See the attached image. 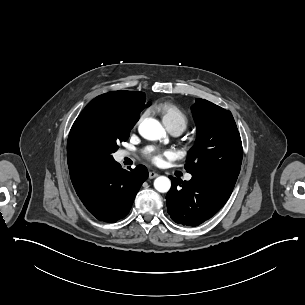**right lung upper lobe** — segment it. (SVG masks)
<instances>
[{
    "label": "right lung upper lobe",
    "mask_w": 305,
    "mask_h": 305,
    "mask_svg": "<svg viewBox=\"0 0 305 305\" xmlns=\"http://www.w3.org/2000/svg\"><path fill=\"white\" fill-rule=\"evenodd\" d=\"M143 92L112 91L93 99L74 122L67 141L70 176L93 167L83 140L89 123L109 125L136 123L145 108Z\"/></svg>",
    "instance_id": "1"
}]
</instances>
